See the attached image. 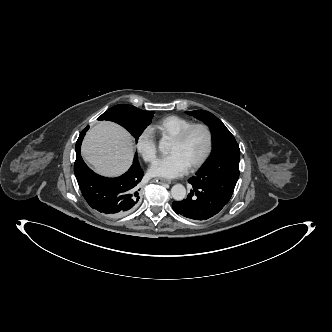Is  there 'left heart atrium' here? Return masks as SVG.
<instances>
[{"label":"left heart atrium","instance_id":"39dd6f15","mask_svg":"<svg viewBox=\"0 0 332 332\" xmlns=\"http://www.w3.org/2000/svg\"><path fill=\"white\" fill-rule=\"evenodd\" d=\"M189 165L179 154L159 158L149 169V174L159 178H176L187 172Z\"/></svg>","mask_w":332,"mask_h":332}]
</instances>
